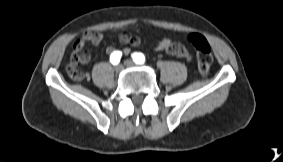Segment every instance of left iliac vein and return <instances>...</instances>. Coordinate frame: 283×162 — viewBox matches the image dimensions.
<instances>
[{"label":"left iliac vein","instance_id":"1","mask_svg":"<svg viewBox=\"0 0 283 162\" xmlns=\"http://www.w3.org/2000/svg\"><path fill=\"white\" fill-rule=\"evenodd\" d=\"M124 64H125L126 66H133V65H135V63H134L131 59L125 60V61H124Z\"/></svg>","mask_w":283,"mask_h":162}]
</instances>
